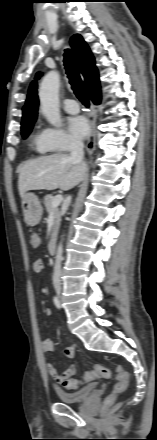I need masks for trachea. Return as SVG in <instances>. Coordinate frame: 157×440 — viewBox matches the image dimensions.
Masks as SVG:
<instances>
[{"label": "trachea", "mask_w": 157, "mask_h": 440, "mask_svg": "<svg viewBox=\"0 0 157 440\" xmlns=\"http://www.w3.org/2000/svg\"><path fill=\"white\" fill-rule=\"evenodd\" d=\"M64 65L66 69L69 82L71 84L72 90L74 91L77 98L86 106L89 107V100L87 90L80 77L75 58L70 49L65 50L64 54Z\"/></svg>", "instance_id": "1"}]
</instances>
